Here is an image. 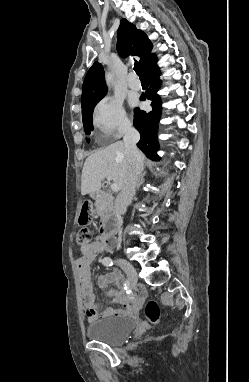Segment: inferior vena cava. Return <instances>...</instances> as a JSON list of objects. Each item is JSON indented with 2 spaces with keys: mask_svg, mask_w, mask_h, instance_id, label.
<instances>
[{
  "mask_svg": "<svg viewBox=\"0 0 249 382\" xmlns=\"http://www.w3.org/2000/svg\"><path fill=\"white\" fill-rule=\"evenodd\" d=\"M140 139L139 132L128 126L123 137L124 145L129 157V168L126 174L124 185L115 201V212L119 215L125 214L127 206L132 201L140 179V156L137 149V142Z\"/></svg>",
  "mask_w": 249,
  "mask_h": 382,
  "instance_id": "1",
  "label": "inferior vena cava"
}]
</instances>
